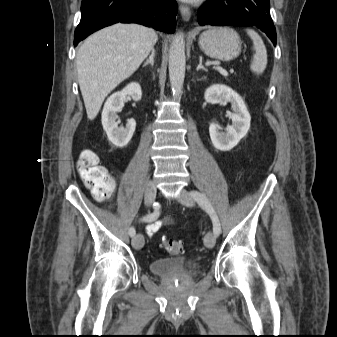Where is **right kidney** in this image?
<instances>
[{
  "mask_svg": "<svg viewBox=\"0 0 337 337\" xmlns=\"http://www.w3.org/2000/svg\"><path fill=\"white\" fill-rule=\"evenodd\" d=\"M126 96H130L134 101H139L142 96L141 87L138 83H130L122 91L113 93L105 102L102 111V125L106 131L109 141L116 147L123 148L131 140L136 122L134 119L128 120L126 127H118L117 112L124 106Z\"/></svg>",
  "mask_w": 337,
  "mask_h": 337,
  "instance_id": "obj_1",
  "label": "right kidney"
}]
</instances>
